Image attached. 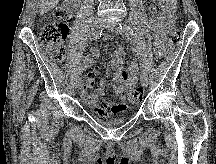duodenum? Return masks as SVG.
Listing matches in <instances>:
<instances>
[{"label": "duodenum", "instance_id": "1", "mask_svg": "<svg viewBox=\"0 0 216 164\" xmlns=\"http://www.w3.org/2000/svg\"><path fill=\"white\" fill-rule=\"evenodd\" d=\"M76 1H77V0H72V2H73L72 5H76Z\"/></svg>", "mask_w": 216, "mask_h": 164}]
</instances>
